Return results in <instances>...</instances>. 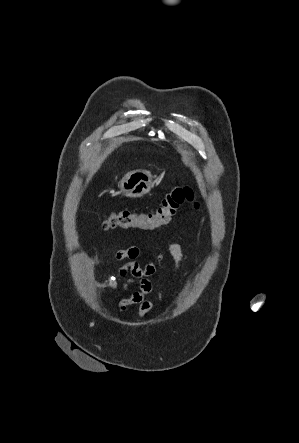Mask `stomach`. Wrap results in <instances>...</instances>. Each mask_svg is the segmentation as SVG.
<instances>
[{
	"label": "stomach",
	"instance_id": "stomach-1",
	"mask_svg": "<svg viewBox=\"0 0 299 443\" xmlns=\"http://www.w3.org/2000/svg\"><path fill=\"white\" fill-rule=\"evenodd\" d=\"M120 191L126 197L139 198L152 188V176L145 170L128 172L120 181Z\"/></svg>",
	"mask_w": 299,
	"mask_h": 443
}]
</instances>
